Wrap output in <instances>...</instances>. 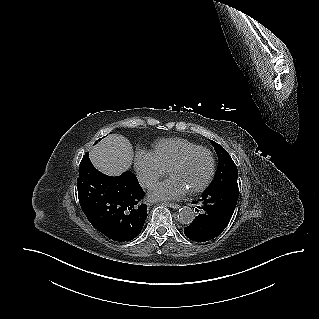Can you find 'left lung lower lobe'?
<instances>
[{"mask_svg": "<svg viewBox=\"0 0 319 319\" xmlns=\"http://www.w3.org/2000/svg\"><path fill=\"white\" fill-rule=\"evenodd\" d=\"M238 200V184L215 190H206L194 201L198 216L184 228L185 235L196 242L211 240L222 233L228 225Z\"/></svg>", "mask_w": 319, "mask_h": 319, "instance_id": "obj_1", "label": "left lung lower lobe"}]
</instances>
